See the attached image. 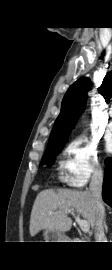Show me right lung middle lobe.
Returning a JSON list of instances; mask_svg holds the SVG:
<instances>
[{"label":"right lung middle lobe","instance_id":"1","mask_svg":"<svg viewBox=\"0 0 112 270\" xmlns=\"http://www.w3.org/2000/svg\"><path fill=\"white\" fill-rule=\"evenodd\" d=\"M65 142L48 144L45 154L42 158V163L51 166L53 164V159L62 150Z\"/></svg>","mask_w":112,"mask_h":270}]
</instances>
